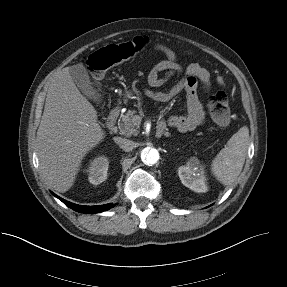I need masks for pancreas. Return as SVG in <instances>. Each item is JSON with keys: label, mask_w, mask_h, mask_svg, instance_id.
I'll return each instance as SVG.
<instances>
[{"label": "pancreas", "mask_w": 287, "mask_h": 287, "mask_svg": "<svg viewBox=\"0 0 287 287\" xmlns=\"http://www.w3.org/2000/svg\"><path fill=\"white\" fill-rule=\"evenodd\" d=\"M135 114V110H128L125 114L121 115V120L118 124L121 134L127 137L138 134L139 124L133 120Z\"/></svg>", "instance_id": "pancreas-1"}]
</instances>
